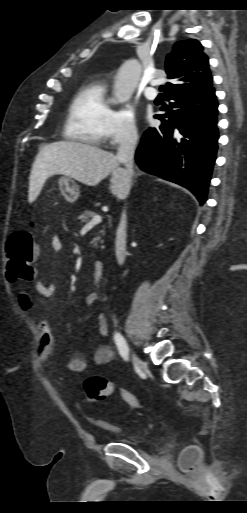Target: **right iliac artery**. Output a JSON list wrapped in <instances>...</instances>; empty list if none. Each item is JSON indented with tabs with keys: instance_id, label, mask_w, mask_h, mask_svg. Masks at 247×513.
I'll list each match as a JSON object with an SVG mask.
<instances>
[{
	"instance_id": "82829eb1",
	"label": "right iliac artery",
	"mask_w": 247,
	"mask_h": 513,
	"mask_svg": "<svg viewBox=\"0 0 247 513\" xmlns=\"http://www.w3.org/2000/svg\"><path fill=\"white\" fill-rule=\"evenodd\" d=\"M114 341L117 345V348L119 350V353L121 355V357L125 360V361H129V357H128V346L126 344V341L125 339L123 338V336H121L120 333H115L114 334Z\"/></svg>"
}]
</instances>
